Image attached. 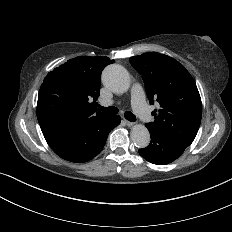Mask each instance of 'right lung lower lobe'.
<instances>
[{
  "label": "right lung lower lobe",
  "instance_id": "obj_1",
  "mask_svg": "<svg viewBox=\"0 0 232 232\" xmlns=\"http://www.w3.org/2000/svg\"><path fill=\"white\" fill-rule=\"evenodd\" d=\"M117 115L96 116L86 121L41 126L52 150L61 158L83 163L103 149L109 132L120 124Z\"/></svg>",
  "mask_w": 232,
  "mask_h": 232
}]
</instances>
